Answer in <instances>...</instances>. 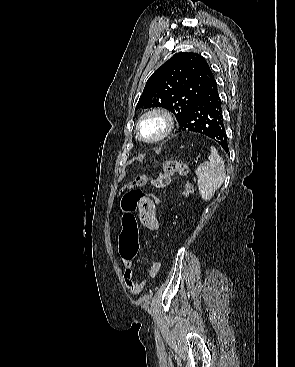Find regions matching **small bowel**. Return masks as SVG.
<instances>
[{"instance_id": "1", "label": "small bowel", "mask_w": 295, "mask_h": 367, "mask_svg": "<svg viewBox=\"0 0 295 367\" xmlns=\"http://www.w3.org/2000/svg\"><path fill=\"white\" fill-rule=\"evenodd\" d=\"M153 201L149 199L148 196H143L139 203V219L143 226L147 229L155 231L159 228V220L157 215V210ZM119 253L123 265V275L127 288L133 295L141 294L146 288L145 282L134 281V268H133V258L136 254L132 256H126L122 252L121 243L119 244ZM137 253V252H136ZM159 272V266L155 268L153 265L150 268V276L155 277Z\"/></svg>"}]
</instances>
